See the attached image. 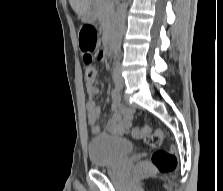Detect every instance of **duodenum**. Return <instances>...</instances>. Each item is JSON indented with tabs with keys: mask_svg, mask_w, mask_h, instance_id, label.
Masks as SVG:
<instances>
[{
	"mask_svg": "<svg viewBox=\"0 0 223 191\" xmlns=\"http://www.w3.org/2000/svg\"><path fill=\"white\" fill-rule=\"evenodd\" d=\"M111 53V39L109 36H106L104 39V54L105 56H109Z\"/></svg>",
	"mask_w": 223,
	"mask_h": 191,
	"instance_id": "obj_1",
	"label": "duodenum"
}]
</instances>
